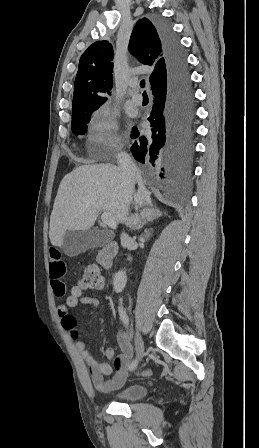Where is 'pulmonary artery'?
<instances>
[{"label": "pulmonary artery", "instance_id": "e3ab8cb5", "mask_svg": "<svg viewBox=\"0 0 259 448\" xmlns=\"http://www.w3.org/2000/svg\"><path fill=\"white\" fill-rule=\"evenodd\" d=\"M130 86L132 88H138L139 87V81L138 80L132 81ZM131 101L136 103V104H140L142 102V97L140 95H133V96H131Z\"/></svg>", "mask_w": 259, "mask_h": 448}]
</instances>
